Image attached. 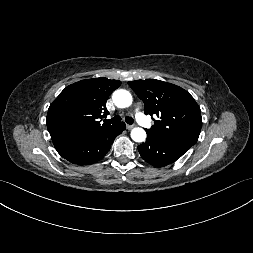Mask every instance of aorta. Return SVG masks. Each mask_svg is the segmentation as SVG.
I'll list each match as a JSON object with an SVG mask.
<instances>
[{"label": "aorta", "mask_w": 253, "mask_h": 253, "mask_svg": "<svg viewBox=\"0 0 253 253\" xmlns=\"http://www.w3.org/2000/svg\"><path fill=\"white\" fill-rule=\"evenodd\" d=\"M112 99L114 104L119 108H126L132 104L131 94L124 89L116 90L112 95ZM131 138L135 142H144L146 139V132L144 129L136 127L131 131Z\"/></svg>", "instance_id": "aorta-1"}]
</instances>
